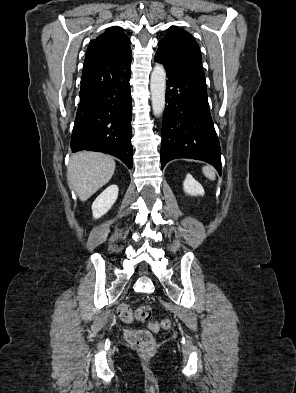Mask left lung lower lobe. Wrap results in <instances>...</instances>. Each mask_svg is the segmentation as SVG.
<instances>
[{
    "instance_id": "1",
    "label": "left lung lower lobe",
    "mask_w": 296,
    "mask_h": 393,
    "mask_svg": "<svg viewBox=\"0 0 296 393\" xmlns=\"http://www.w3.org/2000/svg\"><path fill=\"white\" fill-rule=\"evenodd\" d=\"M164 65L166 103L163 114L161 168L176 158L202 160L221 174V151L207 99L206 80L202 70Z\"/></svg>"
}]
</instances>
